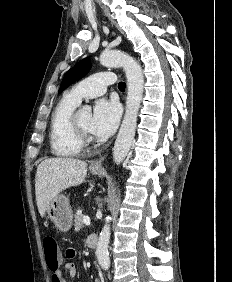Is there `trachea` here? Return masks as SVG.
I'll use <instances>...</instances> for the list:
<instances>
[{
	"label": "trachea",
	"instance_id": "1",
	"mask_svg": "<svg viewBox=\"0 0 232 282\" xmlns=\"http://www.w3.org/2000/svg\"><path fill=\"white\" fill-rule=\"evenodd\" d=\"M125 87H126L125 82H120V83L118 84V88H119V90H121V91H124V90H125Z\"/></svg>",
	"mask_w": 232,
	"mask_h": 282
}]
</instances>
